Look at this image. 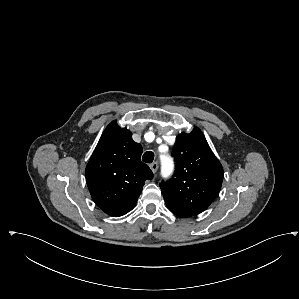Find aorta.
Masks as SVG:
<instances>
[{"mask_svg": "<svg viewBox=\"0 0 299 299\" xmlns=\"http://www.w3.org/2000/svg\"><path fill=\"white\" fill-rule=\"evenodd\" d=\"M172 170V161L168 157L162 158V172L164 175H168Z\"/></svg>", "mask_w": 299, "mask_h": 299, "instance_id": "762f6f07", "label": "aorta"}]
</instances>
